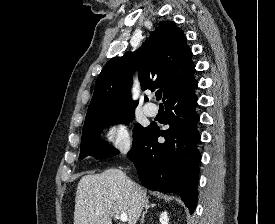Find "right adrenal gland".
Returning <instances> with one entry per match:
<instances>
[{"mask_svg": "<svg viewBox=\"0 0 275 224\" xmlns=\"http://www.w3.org/2000/svg\"><path fill=\"white\" fill-rule=\"evenodd\" d=\"M155 206H156V204H151V205L146 204V205H145V210L143 211L142 217H141V223H142V224L144 223L145 214L147 213L148 209H149V208H153V207H155Z\"/></svg>", "mask_w": 275, "mask_h": 224, "instance_id": "2a0ac1e0", "label": "right adrenal gland"}]
</instances>
